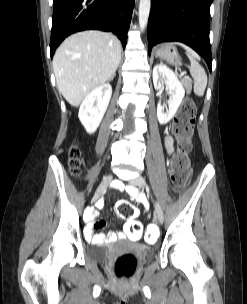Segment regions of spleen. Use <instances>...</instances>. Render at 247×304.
Returning <instances> with one entry per match:
<instances>
[{"label": "spleen", "mask_w": 247, "mask_h": 304, "mask_svg": "<svg viewBox=\"0 0 247 304\" xmlns=\"http://www.w3.org/2000/svg\"><path fill=\"white\" fill-rule=\"evenodd\" d=\"M187 56L190 60V74L194 79V93L197 96H203L205 88L207 86V75L204 68L195 59L194 54L187 49Z\"/></svg>", "instance_id": "spleen-1"}]
</instances>
